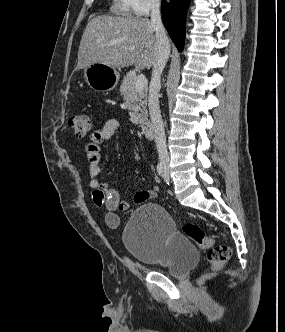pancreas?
Wrapping results in <instances>:
<instances>
[{
  "instance_id": "pancreas-1",
  "label": "pancreas",
  "mask_w": 285,
  "mask_h": 332,
  "mask_svg": "<svg viewBox=\"0 0 285 332\" xmlns=\"http://www.w3.org/2000/svg\"><path fill=\"white\" fill-rule=\"evenodd\" d=\"M137 75L133 72H128L121 82L120 92L123 96L126 105L131 108L132 103L135 102L136 107L134 112H130L131 119L134 123L140 124L141 127L147 121V88L143 90H137L135 88V83L137 81Z\"/></svg>"
}]
</instances>
